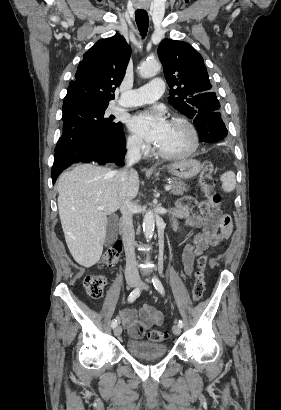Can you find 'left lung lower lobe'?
I'll list each match as a JSON object with an SVG mask.
<instances>
[{
  "mask_svg": "<svg viewBox=\"0 0 281 410\" xmlns=\"http://www.w3.org/2000/svg\"><path fill=\"white\" fill-rule=\"evenodd\" d=\"M194 125L201 142L213 143L227 136V129L219 112L200 113L194 118Z\"/></svg>",
  "mask_w": 281,
  "mask_h": 410,
  "instance_id": "obj_1",
  "label": "left lung lower lobe"
}]
</instances>
